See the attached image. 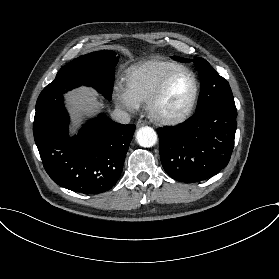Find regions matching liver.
Listing matches in <instances>:
<instances>
[{"instance_id": "obj_1", "label": "liver", "mask_w": 279, "mask_h": 279, "mask_svg": "<svg viewBox=\"0 0 279 279\" xmlns=\"http://www.w3.org/2000/svg\"><path fill=\"white\" fill-rule=\"evenodd\" d=\"M73 109L75 120L80 121V110L94 109V103L98 102V95L89 89H79L68 94Z\"/></svg>"}]
</instances>
